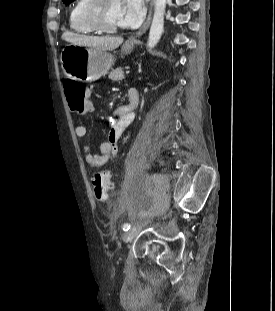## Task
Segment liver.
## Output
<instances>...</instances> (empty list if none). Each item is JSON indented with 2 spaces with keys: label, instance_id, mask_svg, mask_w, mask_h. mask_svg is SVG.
<instances>
[{
  "label": "liver",
  "instance_id": "liver-1",
  "mask_svg": "<svg viewBox=\"0 0 275 311\" xmlns=\"http://www.w3.org/2000/svg\"><path fill=\"white\" fill-rule=\"evenodd\" d=\"M62 39L70 42L74 45H82L87 47H94L100 50H114L119 47L122 42V37H97V36H86V35H79L70 32H64L62 34Z\"/></svg>",
  "mask_w": 275,
  "mask_h": 311
}]
</instances>
